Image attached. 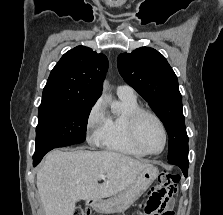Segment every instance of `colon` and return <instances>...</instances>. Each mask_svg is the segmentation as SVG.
<instances>
[{"label": "colon", "mask_w": 223, "mask_h": 215, "mask_svg": "<svg viewBox=\"0 0 223 215\" xmlns=\"http://www.w3.org/2000/svg\"><path fill=\"white\" fill-rule=\"evenodd\" d=\"M159 181L163 187L167 188L169 191H175L179 182V176L170 172H163L159 176ZM145 210L152 212L154 215H165L164 205L151 204L145 206ZM74 215H90V210L77 208Z\"/></svg>", "instance_id": "1"}]
</instances>
